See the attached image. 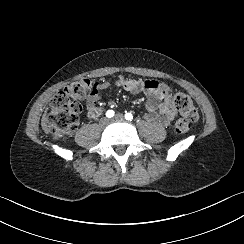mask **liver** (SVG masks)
<instances>
[{
  "mask_svg": "<svg viewBox=\"0 0 244 244\" xmlns=\"http://www.w3.org/2000/svg\"><path fill=\"white\" fill-rule=\"evenodd\" d=\"M41 126H42V129L44 130V132L46 134L49 133V129H48V126H47V118H46V113L43 114L42 116V119H41Z\"/></svg>",
  "mask_w": 244,
  "mask_h": 244,
  "instance_id": "obj_1",
  "label": "liver"
}]
</instances>
